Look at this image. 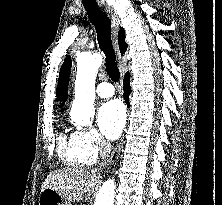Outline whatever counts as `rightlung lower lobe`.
Wrapping results in <instances>:
<instances>
[{"mask_svg":"<svg viewBox=\"0 0 222 205\" xmlns=\"http://www.w3.org/2000/svg\"><path fill=\"white\" fill-rule=\"evenodd\" d=\"M123 89H124V99L126 101V104L129 105V94L131 92V87H130V81H129V73H127L123 79Z\"/></svg>","mask_w":222,"mask_h":205,"instance_id":"1","label":"right lung lower lobe"}]
</instances>
